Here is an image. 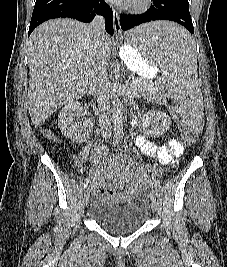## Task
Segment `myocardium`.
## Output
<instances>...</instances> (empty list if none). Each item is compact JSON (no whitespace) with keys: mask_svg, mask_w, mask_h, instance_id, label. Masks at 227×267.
Masks as SVG:
<instances>
[{"mask_svg":"<svg viewBox=\"0 0 227 267\" xmlns=\"http://www.w3.org/2000/svg\"><path fill=\"white\" fill-rule=\"evenodd\" d=\"M152 0H132L129 10L133 13H142L149 9Z\"/></svg>","mask_w":227,"mask_h":267,"instance_id":"obj_1","label":"myocardium"}]
</instances>
